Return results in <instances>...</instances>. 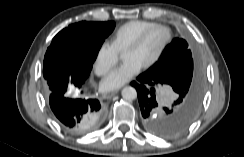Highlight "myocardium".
Masks as SVG:
<instances>
[{
	"label": "myocardium",
	"instance_id": "obj_1",
	"mask_svg": "<svg viewBox=\"0 0 244 157\" xmlns=\"http://www.w3.org/2000/svg\"><path fill=\"white\" fill-rule=\"evenodd\" d=\"M155 30H163L166 33V39L164 44L162 45L161 49L157 53V55L150 60L148 63L143 65L141 68L143 70H147L155 66L164 56L165 52L167 51L168 47L170 46L172 40H173V33L172 30L165 25H155L153 27H150L143 32H141L124 50L129 51V50H135L138 47L141 46V44L144 42V40Z\"/></svg>",
	"mask_w": 244,
	"mask_h": 157
}]
</instances>
